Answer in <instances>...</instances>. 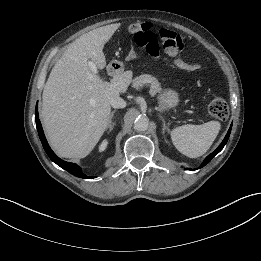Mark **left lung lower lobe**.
I'll return each mask as SVG.
<instances>
[{
    "mask_svg": "<svg viewBox=\"0 0 261 261\" xmlns=\"http://www.w3.org/2000/svg\"><path fill=\"white\" fill-rule=\"evenodd\" d=\"M231 128H232V124H231V126H230V128H229V130H228V132H227V134H226V136H225V138H224V140L222 141V143L219 145V147H218L214 152H212L210 155H208V156L206 157V159L204 160V162L201 164L200 168H201V167H204L207 163H209V162L211 161V159H212L217 153H219V152L223 149V147L225 146V144H226L227 141H228V138H229V135H230V132H231Z\"/></svg>",
    "mask_w": 261,
    "mask_h": 261,
    "instance_id": "left-lung-lower-lobe-1",
    "label": "left lung lower lobe"
}]
</instances>
